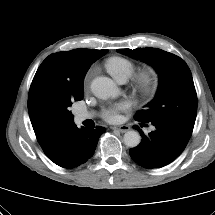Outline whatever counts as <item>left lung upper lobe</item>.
<instances>
[{
  "mask_svg": "<svg viewBox=\"0 0 215 215\" xmlns=\"http://www.w3.org/2000/svg\"><path fill=\"white\" fill-rule=\"evenodd\" d=\"M152 65L159 73L156 97L135 119L166 124L190 138L197 115V94L191 71L180 57L157 48L118 49Z\"/></svg>",
  "mask_w": 215,
  "mask_h": 215,
  "instance_id": "1",
  "label": "left lung upper lobe"
}]
</instances>
